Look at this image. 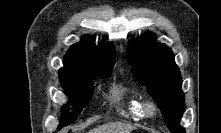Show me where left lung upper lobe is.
Here are the masks:
<instances>
[{
	"mask_svg": "<svg viewBox=\"0 0 221 133\" xmlns=\"http://www.w3.org/2000/svg\"><path fill=\"white\" fill-rule=\"evenodd\" d=\"M127 59L133 77L146 86L147 92L158 103L169 130L184 133L180 120L185 97L172 50L165 44L157 43L154 34L147 32L129 44Z\"/></svg>",
	"mask_w": 221,
	"mask_h": 133,
	"instance_id": "left-lung-upper-lobe-1",
	"label": "left lung upper lobe"
}]
</instances>
